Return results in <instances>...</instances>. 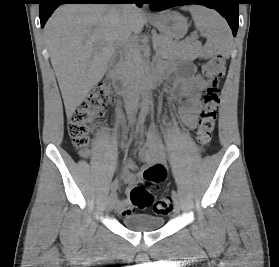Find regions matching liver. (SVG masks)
Masks as SVG:
<instances>
[{
	"mask_svg": "<svg viewBox=\"0 0 279 267\" xmlns=\"http://www.w3.org/2000/svg\"><path fill=\"white\" fill-rule=\"evenodd\" d=\"M146 19L137 10L125 20L119 5L66 4L44 28L50 61L68 118L103 78L127 32L141 33Z\"/></svg>",
	"mask_w": 279,
	"mask_h": 267,
	"instance_id": "obj_1",
	"label": "liver"
}]
</instances>
